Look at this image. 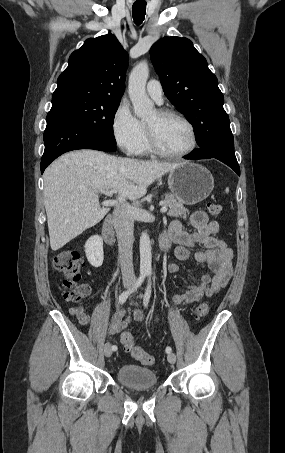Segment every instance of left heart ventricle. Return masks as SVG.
<instances>
[{
    "instance_id": "b2bd125f",
    "label": "left heart ventricle",
    "mask_w": 285,
    "mask_h": 453,
    "mask_svg": "<svg viewBox=\"0 0 285 453\" xmlns=\"http://www.w3.org/2000/svg\"><path fill=\"white\" fill-rule=\"evenodd\" d=\"M146 125L154 130L160 145L167 151L181 152L191 144L189 128L177 118H161L155 112L146 120Z\"/></svg>"
}]
</instances>
